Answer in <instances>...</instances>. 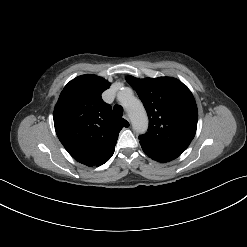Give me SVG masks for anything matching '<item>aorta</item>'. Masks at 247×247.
I'll use <instances>...</instances> for the list:
<instances>
[{
    "mask_svg": "<svg viewBox=\"0 0 247 247\" xmlns=\"http://www.w3.org/2000/svg\"><path fill=\"white\" fill-rule=\"evenodd\" d=\"M117 97L130 117L133 130L139 134L145 133L148 128V117L141 101L133 95L130 88L119 91Z\"/></svg>",
    "mask_w": 247,
    "mask_h": 247,
    "instance_id": "762f6f07",
    "label": "aorta"
}]
</instances>
